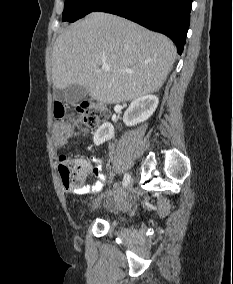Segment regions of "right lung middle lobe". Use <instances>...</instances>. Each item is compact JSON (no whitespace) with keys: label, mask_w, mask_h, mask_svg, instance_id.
I'll use <instances>...</instances> for the list:
<instances>
[{"label":"right lung middle lobe","mask_w":233,"mask_h":284,"mask_svg":"<svg viewBox=\"0 0 233 284\" xmlns=\"http://www.w3.org/2000/svg\"><path fill=\"white\" fill-rule=\"evenodd\" d=\"M107 0H65L62 21L74 22L95 11Z\"/></svg>","instance_id":"1"}]
</instances>
